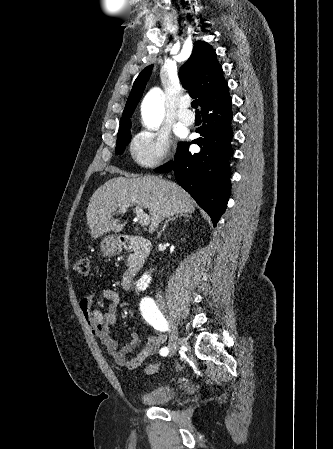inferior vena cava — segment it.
<instances>
[{
    "label": "inferior vena cava",
    "instance_id": "1",
    "mask_svg": "<svg viewBox=\"0 0 333 449\" xmlns=\"http://www.w3.org/2000/svg\"><path fill=\"white\" fill-rule=\"evenodd\" d=\"M158 300H159L161 303H163L164 299H163V296H162L161 294L158 295Z\"/></svg>",
    "mask_w": 333,
    "mask_h": 449
}]
</instances>
